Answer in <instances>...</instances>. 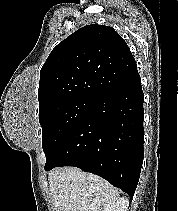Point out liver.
Wrapping results in <instances>:
<instances>
[{
	"instance_id": "obj_1",
	"label": "liver",
	"mask_w": 178,
	"mask_h": 211,
	"mask_svg": "<svg viewBox=\"0 0 178 211\" xmlns=\"http://www.w3.org/2000/svg\"><path fill=\"white\" fill-rule=\"evenodd\" d=\"M48 180L55 211H103L119 196L103 178L75 167L56 168Z\"/></svg>"
}]
</instances>
